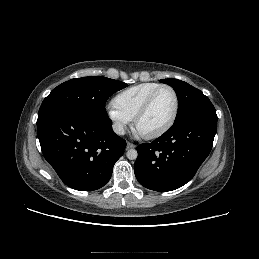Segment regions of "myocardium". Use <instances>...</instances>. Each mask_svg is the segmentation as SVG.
Here are the masks:
<instances>
[{
    "label": "myocardium",
    "mask_w": 259,
    "mask_h": 259,
    "mask_svg": "<svg viewBox=\"0 0 259 259\" xmlns=\"http://www.w3.org/2000/svg\"><path fill=\"white\" fill-rule=\"evenodd\" d=\"M162 89H169L173 95H174V99H175V106H174V110L172 113L171 118L169 119V121L159 130L152 132V133H148V134H143L140 133L138 131V124L141 121V119L147 114V112L149 111L151 104L156 96V94L162 90ZM179 107H180V99H179V95L178 92L176 91V89L170 85L167 84H161L159 85L157 88H155L146 98V100L144 101V103L142 104L141 108L138 110V112L136 113L134 119H133V127L134 129L140 134V136H142L145 139H156L159 138L160 136L164 135L175 123L178 113H179Z\"/></svg>",
    "instance_id": "f54148a6"
}]
</instances>
